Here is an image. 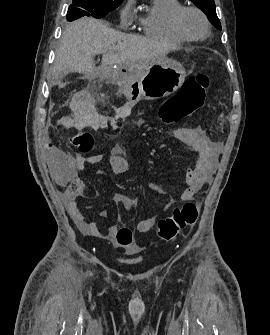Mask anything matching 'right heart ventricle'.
I'll list each match as a JSON object with an SVG mask.
<instances>
[{
    "label": "right heart ventricle",
    "mask_w": 270,
    "mask_h": 335,
    "mask_svg": "<svg viewBox=\"0 0 270 335\" xmlns=\"http://www.w3.org/2000/svg\"><path fill=\"white\" fill-rule=\"evenodd\" d=\"M183 7L180 0H154L150 9L136 15L134 21L149 37L172 43H183L186 38L176 32L172 24L173 14Z\"/></svg>",
    "instance_id": "obj_1"
}]
</instances>
